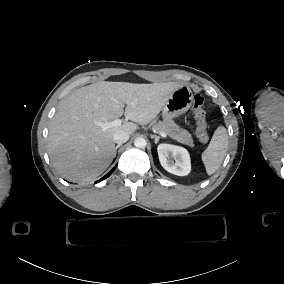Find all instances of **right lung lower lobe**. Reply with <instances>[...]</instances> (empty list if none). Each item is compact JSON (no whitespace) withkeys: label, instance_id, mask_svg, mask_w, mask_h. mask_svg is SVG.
<instances>
[{"label":"right lung lower lobe","instance_id":"1","mask_svg":"<svg viewBox=\"0 0 284 284\" xmlns=\"http://www.w3.org/2000/svg\"><path fill=\"white\" fill-rule=\"evenodd\" d=\"M116 166H117V165H116ZM116 166H115L110 172H108L104 177H102L99 181H101V180H103V179L109 177V176L111 175V173L115 170ZM97 182H98V181H97Z\"/></svg>","mask_w":284,"mask_h":284}]
</instances>
